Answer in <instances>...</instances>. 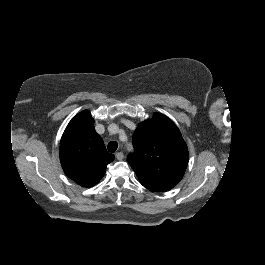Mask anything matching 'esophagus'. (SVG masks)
Returning <instances> with one entry per match:
<instances>
[{"label":"esophagus","instance_id":"obj_1","mask_svg":"<svg viewBox=\"0 0 265 265\" xmlns=\"http://www.w3.org/2000/svg\"><path fill=\"white\" fill-rule=\"evenodd\" d=\"M116 158H117L119 161L123 160V158H124V153H123V152H118V153L116 154Z\"/></svg>","mask_w":265,"mask_h":265}]
</instances>
